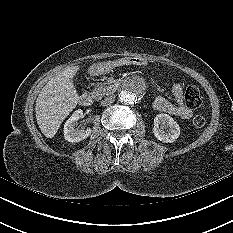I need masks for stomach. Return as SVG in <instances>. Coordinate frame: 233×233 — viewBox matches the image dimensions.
<instances>
[{
	"instance_id": "obj_1",
	"label": "stomach",
	"mask_w": 233,
	"mask_h": 233,
	"mask_svg": "<svg viewBox=\"0 0 233 233\" xmlns=\"http://www.w3.org/2000/svg\"><path fill=\"white\" fill-rule=\"evenodd\" d=\"M147 61L144 58L125 57L118 60L106 61L104 64H97L90 68L92 75H101L107 72L129 70L136 68L138 65H145Z\"/></svg>"
}]
</instances>
